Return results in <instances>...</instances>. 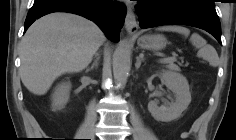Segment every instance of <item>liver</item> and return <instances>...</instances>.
Wrapping results in <instances>:
<instances>
[{
    "label": "liver",
    "mask_w": 236,
    "mask_h": 140,
    "mask_svg": "<svg viewBox=\"0 0 236 140\" xmlns=\"http://www.w3.org/2000/svg\"><path fill=\"white\" fill-rule=\"evenodd\" d=\"M105 41L100 28L81 16L51 13L35 21L22 38L20 77L35 95H44L57 77L88 67Z\"/></svg>",
    "instance_id": "1"
}]
</instances>
